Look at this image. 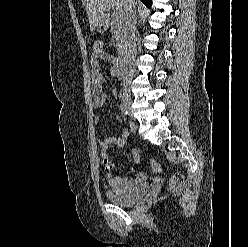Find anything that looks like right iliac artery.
I'll return each mask as SVG.
<instances>
[{"mask_svg": "<svg viewBox=\"0 0 248 247\" xmlns=\"http://www.w3.org/2000/svg\"><path fill=\"white\" fill-rule=\"evenodd\" d=\"M120 110H121V113H122L123 117L128 116V109H127V107H126V105L124 103L120 104Z\"/></svg>", "mask_w": 248, "mask_h": 247, "instance_id": "right-iliac-artery-1", "label": "right iliac artery"}]
</instances>
